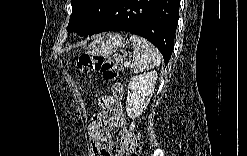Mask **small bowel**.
Instances as JSON below:
<instances>
[{"mask_svg":"<svg viewBox=\"0 0 247 156\" xmlns=\"http://www.w3.org/2000/svg\"><path fill=\"white\" fill-rule=\"evenodd\" d=\"M122 97V86L115 84L112 87V95L98 101L100 112L92 116L88 127L92 151L95 155L108 156L112 155V152H115V155H127L131 137L121 105ZM110 127L120 129V138L116 143L112 142L108 130Z\"/></svg>","mask_w":247,"mask_h":156,"instance_id":"1","label":"small bowel"}]
</instances>
